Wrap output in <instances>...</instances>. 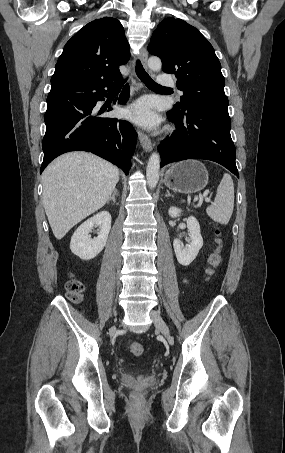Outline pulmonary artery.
<instances>
[{
  "label": "pulmonary artery",
  "mask_w": 285,
  "mask_h": 453,
  "mask_svg": "<svg viewBox=\"0 0 285 453\" xmlns=\"http://www.w3.org/2000/svg\"><path fill=\"white\" fill-rule=\"evenodd\" d=\"M158 82L162 85H169V86H172L174 84L173 81L165 75H159Z\"/></svg>",
  "instance_id": "e3ab8cb5"
}]
</instances>
